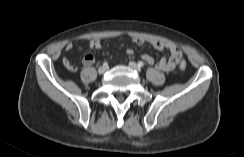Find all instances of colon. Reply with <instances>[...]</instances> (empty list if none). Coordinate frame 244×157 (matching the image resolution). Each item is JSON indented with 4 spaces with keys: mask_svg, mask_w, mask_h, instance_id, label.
Masks as SVG:
<instances>
[{
    "mask_svg": "<svg viewBox=\"0 0 244 157\" xmlns=\"http://www.w3.org/2000/svg\"><path fill=\"white\" fill-rule=\"evenodd\" d=\"M71 68H74V65H72ZM179 68L181 70H184L186 68V62L184 60L180 62Z\"/></svg>",
    "mask_w": 244,
    "mask_h": 157,
    "instance_id": "colon-1",
    "label": "colon"
}]
</instances>
